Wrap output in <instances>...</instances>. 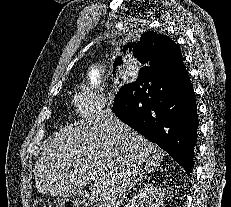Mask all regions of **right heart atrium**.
Segmentation results:
<instances>
[{
  "label": "right heart atrium",
  "instance_id": "right-heart-atrium-1",
  "mask_svg": "<svg viewBox=\"0 0 231 207\" xmlns=\"http://www.w3.org/2000/svg\"><path fill=\"white\" fill-rule=\"evenodd\" d=\"M71 104L76 118L91 122L109 107L110 101L96 92L82 89L73 95Z\"/></svg>",
  "mask_w": 231,
  "mask_h": 207
}]
</instances>
